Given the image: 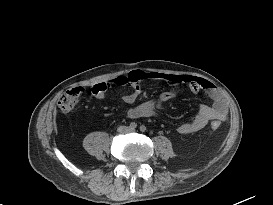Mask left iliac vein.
I'll return each instance as SVG.
<instances>
[{"label":"left iliac vein","instance_id":"obj_1","mask_svg":"<svg viewBox=\"0 0 273 205\" xmlns=\"http://www.w3.org/2000/svg\"><path fill=\"white\" fill-rule=\"evenodd\" d=\"M129 131H130V132H134V131H135V129H130Z\"/></svg>","mask_w":273,"mask_h":205}]
</instances>
